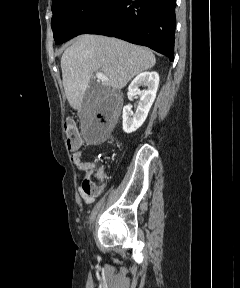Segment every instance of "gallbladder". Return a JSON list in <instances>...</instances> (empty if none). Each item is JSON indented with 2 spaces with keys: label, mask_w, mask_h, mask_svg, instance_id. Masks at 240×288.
<instances>
[{
  "label": "gallbladder",
  "mask_w": 240,
  "mask_h": 288,
  "mask_svg": "<svg viewBox=\"0 0 240 288\" xmlns=\"http://www.w3.org/2000/svg\"><path fill=\"white\" fill-rule=\"evenodd\" d=\"M113 112L108 92L101 86H95L87 91L80 117L83 121L94 118L97 114L110 117Z\"/></svg>",
  "instance_id": "1"
}]
</instances>
